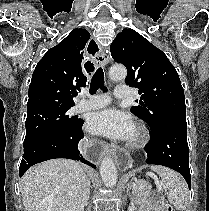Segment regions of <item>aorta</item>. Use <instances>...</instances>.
I'll return each instance as SVG.
<instances>
[{"instance_id": "1", "label": "aorta", "mask_w": 209, "mask_h": 211, "mask_svg": "<svg viewBox=\"0 0 209 211\" xmlns=\"http://www.w3.org/2000/svg\"><path fill=\"white\" fill-rule=\"evenodd\" d=\"M127 76V69L123 65H114L109 70L112 81H122ZM100 175L106 187H113L117 183V168L110 157H105L100 164Z\"/></svg>"}]
</instances>
